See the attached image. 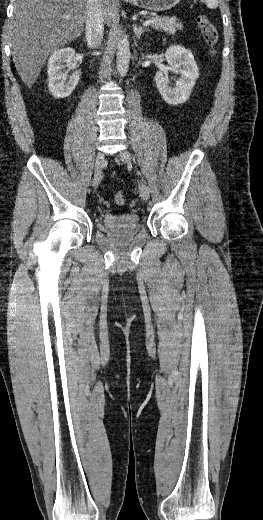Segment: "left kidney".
<instances>
[{"label":"left kidney","mask_w":263,"mask_h":520,"mask_svg":"<svg viewBox=\"0 0 263 520\" xmlns=\"http://www.w3.org/2000/svg\"><path fill=\"white\" fill-rule=\"evenodd\" d=\"M170 69L180 76L175 87L169 86L168 69L162 68L155 75V81L162 98L170 105H179L188 100L192 88L199 77L197 64L191 51L182 46H171L165 53Z\"/></svg>","instance_id":"1"}]
</instances>
